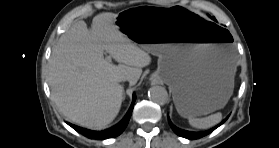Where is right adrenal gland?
Instances as JSON below:
<instances>
[{
	"instance_id": "right-adrenal-gland-1",
	"label": "right adrenal gland",
	"mask_w": 279,
	"mask_h": 148,
	"mask_svg": "<svg viewBox=\"0 0 279 148\" xmlns=\"http://www.w3.org/2000/svg\"><path fill=\"white\" fill-rule=\"evenodd\" d=\"M125 99V93L123 94V100Z\"/></svg>"
}]
</instances>
